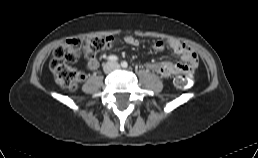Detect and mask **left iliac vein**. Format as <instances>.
Instances as JSON below:
<instances>
[{
    "label": "left iliac vein",
    "mask_w": 258,
    "mask_h": 158,
    "mask_svg": "<svg viewBox=\"0 0 258 158\" xmlns=\"http://www.w3.org/2000/svg\"><path fill=\"white\" fill-rule=\"evenodd\" d=\"M113 66L115 69H119V67H120L119 64H117V63L113 64Z\"/></svg>",
    "instance_id": "1"
}]
</instances>
